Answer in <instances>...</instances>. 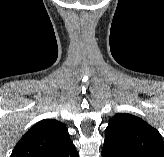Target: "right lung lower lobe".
I'll return each instance as SVG.
<instances>
[{"instance_id":"98d812e1","label":"right lung lower lobe","mask_w":164,"mask_h":157,"mask_svg":"<svg viewBox=\"0 0 164 157\" xmlns=\"http://www.w3.org/2000/svg\"><path fill=\"white\" fill-rule=\"evenodd\" d=\"M52 157H79L75 146L72 144L68 145Z\"/></svg>"}]
</instances>
